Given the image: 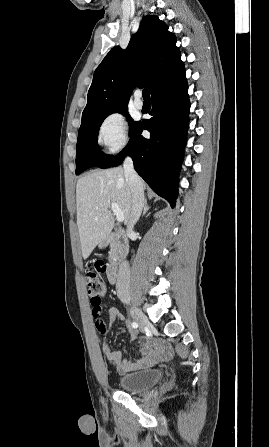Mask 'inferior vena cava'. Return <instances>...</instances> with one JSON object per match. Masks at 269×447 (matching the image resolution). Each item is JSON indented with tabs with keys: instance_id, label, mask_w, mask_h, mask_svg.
<instances>
[{
	"instance_id": "602c4592",
	"label": "inferior vena cava",
	"mask_w": 269,
	"mask_h": 447,
	"mask_svg": "<svg viewBox=\"0 0 269 447\" xmlns=\"http://www.w3.org/2000/svg\"><path fill=\"white\" fill-rule=\"evenodd\" d=\"M124 174L127 184L131 190L132 206L129 222L127 225L128 233H133V227L138 222L141 212L144 208V190L141 178L136 174L133 168L131 158H125ZM130 265L128 261H122L119 265L116 281L117 293L120 295H129L130 293Z\"/></svg>"
}]
</instances>
